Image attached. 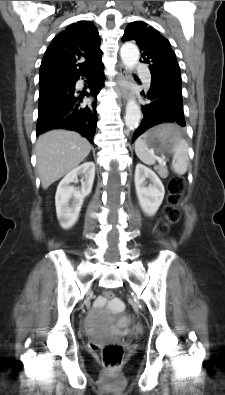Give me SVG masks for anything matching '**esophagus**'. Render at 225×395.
Masks as SVG:
<instances>
[{
	"label": "esophagus",
	"mask_w": 225,
	"mask_h": 395,
	"mask_svg": "<svg viewBox=\"0 0 225 395\" xmlns=\"http://www.w3.org/2000/svg\"><path fill=\"white\" fill-rule=\"evenodd\" d=\"M126 74H127L126 68L122 64H120L117 68V76H116L117 91L124 100H126L129 96L128 89L125 85Z\"/></svg>",
	"instance_id": "34e87169"
}]
</instances>
